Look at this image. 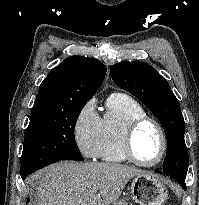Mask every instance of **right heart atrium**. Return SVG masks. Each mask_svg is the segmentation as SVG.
I'll list each match as a JSON object with an SVG mask.
<instances>
[{"mask_svg": "<svg viewBox=\"0 0 199 205\" xmlns=\"http://www.w3.org/2000/svg\"><path fill=\"white\" fill-rule=\"evenodd\" d=\"M100 118L95 110L94 99L80 110L74 125V140L81 154L96 158L99 152Z\"/></svg>", "mask_w": 199, "mask_h": 205, "instance_id": "right-heart-atrium-1", "label": "right heart atrium"}]
</instances>
